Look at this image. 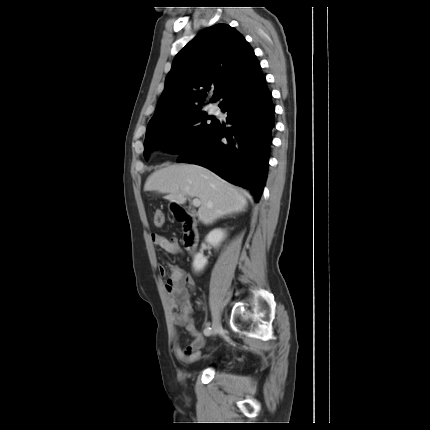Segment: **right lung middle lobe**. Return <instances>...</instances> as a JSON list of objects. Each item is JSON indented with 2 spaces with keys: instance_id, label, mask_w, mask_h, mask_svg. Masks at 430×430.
<instances>
[{
  "instance_id": "right-lung-middle-lobe-1",
  "label": "right lung middle lobe",
  "mask_w": 430,
  "mask_h": 430,
  "mask_svg": "<svg viewBox=\"0 0 430 430\" xmlns=\"http://www.w3.org/2000/svg\"><path fill=\"white\" fill-rule=\"evenodd\" d=\"M217 124L218 120L199 108L154 124L146 132L144 156L158 146L168 152L188 154L206 141Z\"/></svg>"
}]
</instances>
